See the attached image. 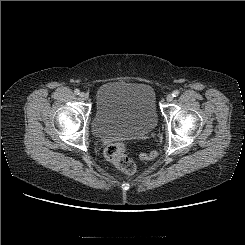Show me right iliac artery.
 <instances>
[{
    "label": "right iliac artery",
    "instance_id": "right-iliac-artery-1",
    "mask_svg": "<svg viewBox=\"0 0 245 245\" xmlns=\"http://www.w3.org/2000/svg\"><path fill=\"white\" fill-rule=\"evenodd\" d=\"M74 93H75L76 95H79V94H80V90H79V89H75V90H74Z\"/></svg>",
    "mask_w": 245,
    "mask_h": 245
}]
</instances>
